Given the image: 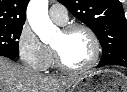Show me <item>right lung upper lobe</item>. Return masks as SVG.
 <instances>
[{"mask_svg":"<svg viewBox=\"0 0 127 92\" xmlns=\"http://www.w3.org/2000/svg\"><path fill=\"white\" fill-rule=\"evenodd\" d=\"M29 0H0V26H23Z\"/></svg>","mask_w":127,"mask_h":92,"instance_id":"right-lung-upper-lobe-1","label":"right lung upper lobe"}]
</instances>
